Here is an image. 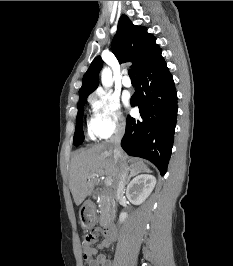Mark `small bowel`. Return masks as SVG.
I'll list each match as a JSON object with an SVG mask.
<instances>
[{"label":"small bowel","instance_id":"obj_1","mask_svg":"<svg viewBox=\"0 0 233 266\" xmlns=\"http://www.w3.org/2000/svg\"><path fill=\"white\" fill-rule=\"evenodd\" d=\"M110 246V241L107 239L102 240L98 243L97 247H93L92 243L84 241L83 243V252H84V261L87 266H111L110 259L102 253H99L98 250L106 249Z\"/></svg>","mask_w":233,"mask_h":266}]
</instances>
